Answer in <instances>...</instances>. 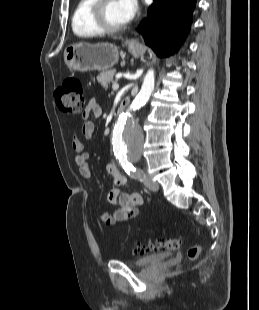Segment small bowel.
<instances>
[{
  "label": "small bowel",
  "instance_id": "1",
  "mask_svg": "<svg viewBox=\"0 0 259 310\" xmlns=\"http://www.w3.org/2000/svg\"><path fill=\"white\" fill-rule=\"evenodd\" d=\"M102 113L101 106L96 100L91 99L83 113L85 119L82 125V135L90 138L94 132V124L88 117L93 115L99 117ZM71 148L74 152V162L78 166L79 173L88 183L92 182V173L89 166V154L83 152V143L77 135L71 138ZM105 170L113 177V188L107 194V201L112 205H118V208L112 213L100 212L99 219L106 225H114L118 222H125L136 217L140 212L142 197L134 191H127V180L120 173L117 166L112 163H106Z\"/></svg>",
  "mask_w": 259,
  "mask_h": 310
}]
</instances>
